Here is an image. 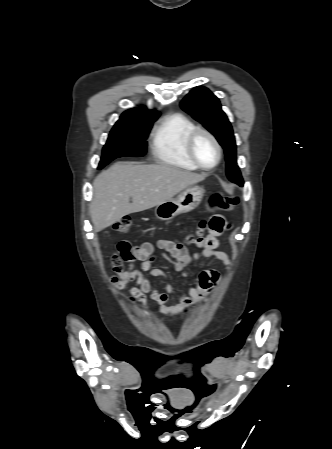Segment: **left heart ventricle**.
<instances>
[{
  "instance_id": "left-heart-ventricle-1",
  "label": "left heart ventricle",
  "mask_w": 332,
  "mask_h": 449,
  "mask_svg": "<svg viewBox=\"0 0 332 449\" xmlns=\"http://www.w3.org/2000/svg\"><path fill=\"white\" fill-rule=\"evenodd\" d=\"M194 150L199 161L206 166L214 164L217 151L212 141L205 135H199L194 144Z\"/></svg>"
}]
</instances>
